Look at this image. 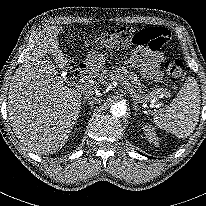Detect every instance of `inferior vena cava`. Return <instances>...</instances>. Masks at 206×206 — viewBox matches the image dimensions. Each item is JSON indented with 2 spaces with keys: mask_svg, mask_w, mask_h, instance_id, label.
<instances>
[{
  "mask_svg": "<svg viewBox=\"0 0 206 206\" xmlns=\"http://www.w3.org/2000/svg\"><path fill=\"white\" fill-rule=\"evenodd\" d=\"M82 93H83V95L85 96V97H84L85 100L88 99V100H90V101H92V102H94V103H97V102L100 101V98H98L97 96H94V95H93V90H92L91 88L84 89V90L82 91Z\"/></svg>",
  "mask_w": 206,
  "mask_h": 206,
  "instance_id": "602c4592",
  "label": "inferior vena cava"
}]
</instances>
